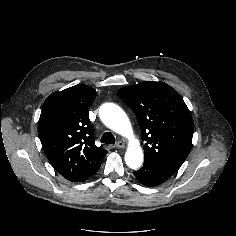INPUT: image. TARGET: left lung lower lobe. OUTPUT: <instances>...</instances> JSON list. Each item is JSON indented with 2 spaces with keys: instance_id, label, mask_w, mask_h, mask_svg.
I'll return each instance as SVG.
<instances>
[{
  "instance_id": "0a47b994",
  "label": "left lung lower lobe",
  "mask_w": 236,
  "mask_h": 236,
  "mask_svg": "<svg viewBox=\"0 0 236 236\" xmlns=\"http://www.w3.org/2000/svg\"><path fill=\"white\" fill-rule=\"evenodd\" d=\"M134 174L141 184L149 187L158 186L173 175L171 173L159 170L150 161H145L143 167L134 172Z\"/></svg>"
}]
</instances>
